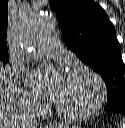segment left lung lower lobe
<instances>
[{
    "label": "left lung lower lobe",
    "mask_w": 125,
    "mask_h": 128,
    "mask_svg": "<svg viewBox=\"0 0 125 128\" xmlns=\"http://www.w3.org/2000/svg\"><path fill=\"white\" fill-rule=\"evenodd\" d=\"M104 110L125 114V106L105 107Z\"/></svg>",
    "instance_id": "1"
}]
</instances>
